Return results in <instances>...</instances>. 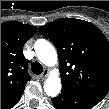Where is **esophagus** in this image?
I'll list each match as a JSON object with an SVG mask.
<instances>
[{
  "label": "esophagus",
  "instance_id": "1",
  "mask_svg": "<svg viewBox=\"0 0 109 109\" xmlns=\"http://www.w3.org/2000/svg\"><path fill=\"white\" fill-rule=\"evenodd\" d=\"M48 72L45 71L43 74L40 75V79L44 80L47 77Z\"/></svg>",
  "mask_w": 109,
  "mask_h": 109
}]
</instances>
